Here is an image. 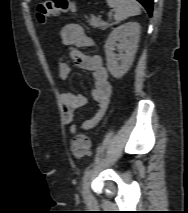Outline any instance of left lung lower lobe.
I'll return each mask as SVG.
<instances>
[{
	"mask_svg": "<svg viewBox=\"0 0 188 213\" xmlns=\"http://www.w3.org/2000/svg\"><path fill=\"white\" fill-rule=\"evenodd\" d=\"M148 11L149 15L152 14L153 0H138Z\"/></svg>",
	"mask_w": 188,
	"mask_h": 213,
	"instance_id": "left-lung-lower-lobe-1",
	"label": "left lung lower lobe"
}]
</instances>
